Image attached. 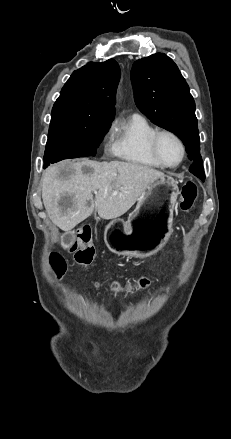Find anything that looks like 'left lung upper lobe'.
Masks as SVG:
<instances>
[{
	"instance_id": "5c2ea615",
	"label": "left lung upper lobe",
	"mask_w": 231,
	"mask_h": 439,
	"mask_svg": "<svg viewBox=\"0 0 231 439\" xmlns=\"http://www.w3.org/2000/svg\"><path fill=\"white\" fill-rule=\"evenodd\" d=\"M131 80L137 107L183 141L192 160L189 171L204 181L195 102L176 64L161 53L139 59L133 64Z\"/></svg>"
}]
</instances>
